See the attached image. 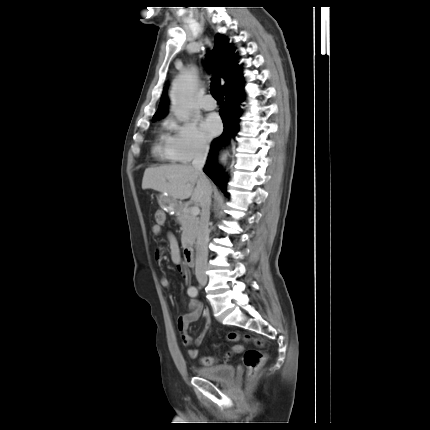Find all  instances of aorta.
Masks as SVG:
<instances>
[{
    "mask_svg": "<svg viewBox=\"0 0 430 430\" xmlns=\"http://www.w3.org/2000/svg\"><path fill=\"white\" fill-rule=\"evenodd\" d=\"M194 91L195 78L192 73L179 75L174 81L170 98L172 111L177 117L181 119L188 118L193 105ZM220 160H224V155L220 156Z\"/></svg>",
    "mask_w": 430,
    "mask_h": 430,
    "instance_id": "obj_1",
    "label": "aorta"
}]
</instances>
